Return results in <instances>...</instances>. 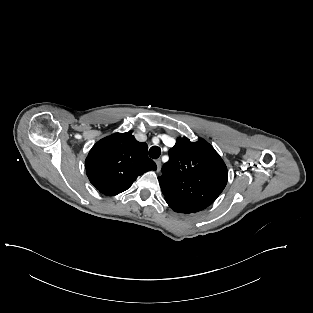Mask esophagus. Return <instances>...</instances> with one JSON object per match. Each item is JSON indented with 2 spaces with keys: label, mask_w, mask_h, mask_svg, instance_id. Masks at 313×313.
<instances>
[{
  "label": "esophagus",
  "mask_w": 313,
  "mask_h": 313,
  "mask_svg": "<svg viewBox=\"0 0 313 313\" xmlns=\"http://www.w3.org/2000/svg\"><path fill=\"white\" fill-rule=\"evenodd\" d=\"M156 165H157V171L159 172L161 170V160L160 159L156 160Z\"/></svg>",
  "instance_id": "1"
}]
</instances>
